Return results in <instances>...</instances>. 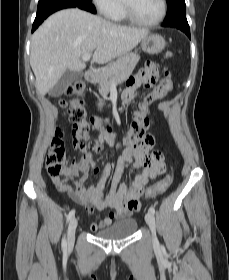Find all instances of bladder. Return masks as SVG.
Here are the masks:
<instances>
[{
  "instance_id": "obj_1",
  "label": "bladder",
  "mask_w": 229,
  "mask_h": 280,
  "mask_svg": "<svg viewBox=\"0 0 229 280\" xmlns=\"http://www.w3.org/2000/svg\"><path fill=\"white\" fill-rule=\"evenodd\" d=\"M137 228V220L134 218L121 219L110 227L95 231L94 234L103 239H118L131 236Z\"/></svg>"
}]
</instances>
